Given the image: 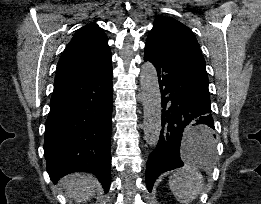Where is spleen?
<instances>
[{"label": "spleen", "mask_w": 261, "mask_h": 204, "mask_svg": "<svg viewBox=\"0 0 261 204\" xmlns=\"http://www.w3.org/2000/svg\"><path fill=\"white\" fill-rule=\"evenodd\" d=\"M207 152H213L215 142L213 139L198 142ZM169 187L174 197L182 204H190L200 194L203 187L202 174L195 166L186 165L173 173L169 178Z\"/></svg>", "instance_id": "1"}]
</instances>
